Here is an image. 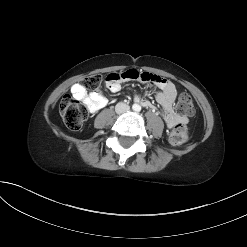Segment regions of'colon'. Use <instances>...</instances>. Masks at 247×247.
<instances>
[{
  "label": "colon",
  "mask_w": 247,
  "mask_h": 247,
  "mask_svg": "<svg viewBox=\"0 0 247 247\" xmlns=\"http://www.w3.org/2000/svg\"><path fill=\"white\" fill-rule=\"evenodd\" d=\"M102 82H105V75L93 74L83 79L81 85L85 90H94ZM176 110L181 116H192L194 114L193 101L188 94L183 93L179 96ZM59 112L67 128L73 131L79 130L88 116L82 104L70 95L64 96L60 101ZM188 137V127L184 123H180L170 132L168 140L171 145L177 146L186 142Z\"/></svg>",
  "instance_id": "colon-1"
}]
</instances>
